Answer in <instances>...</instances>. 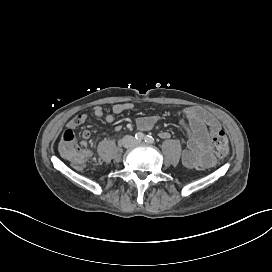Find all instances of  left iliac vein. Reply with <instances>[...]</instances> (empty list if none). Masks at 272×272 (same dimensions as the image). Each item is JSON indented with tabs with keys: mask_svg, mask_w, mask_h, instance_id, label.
I'll return each instance as SVG.
<instances>
[{
	"mask_svg": "<svg viewBox=\"0 0 272 272\" xmlns=\"http://www.w3.org/2000/svg\"><path fill=\"white\" fill-rule=\"evenodd\" d=\"M134 144H136V145H137V144H140V142H138V141H135V142H134Z\"/></svg>",
	"mask_w": 272,
	"mask_h": 272,
	"instance_id": "4c4485c4",
	"label": "left iliac vein"
}]
</instances>
